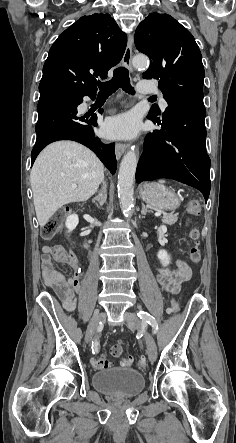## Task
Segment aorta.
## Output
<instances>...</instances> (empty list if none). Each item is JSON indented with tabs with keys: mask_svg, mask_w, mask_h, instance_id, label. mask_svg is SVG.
Returning <instances> with one entry per match:
<instances>
[{
	"mask_svg": "<svg viewBox=\"0 0 236 443\" xmlns=\"http://www.w3.org/2000/svg\"><path fill=\"white\" fill-rule=\"evenodd\" d=\"M135 68H144L149 65L145 55L134 56L132 60ZM138 157L134 150H129L123 157L118 173V197L121 210L126 217L132 215L134 207V180Z\"/></svg>",
	"mask_w": 236,
	"mask_h": 443,
	"instance_id": "1",
	"label": "aorta"
}]
</instances>
